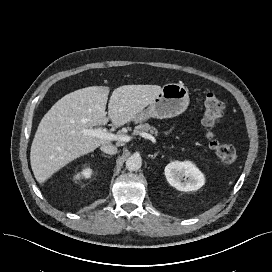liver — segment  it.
I'll return each instance as SVG.
<instances>
[{"mask_svg": "<svg viewBox=\"0 0 272 272\" xmlns=\"http://www.w3.org/2000/svg\"><path fill=\"white\" fill-rule=\"evenodd\" d=\"M158 85H124L116 88L106 104L109 87L92 86L71 92L58 100L42 118L35 133L30 163L36 180L44 183L71 161L93 152L110 140L82 131L110 120L115 126L132 121L160 93Z\"/></svg>", "mask_w": 272, "mask_h": 272, "instance_id": "6515ba94", "label": "liver"}]
</instances>
